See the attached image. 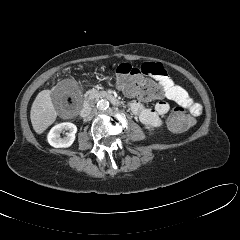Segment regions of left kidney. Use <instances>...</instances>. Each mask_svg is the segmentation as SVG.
<instances>
[{
  "label": "left kidney",
  "instance_id": "left-kidney-1",
  "mask_svg": "<svg viewBox=\"0 0 240 240\" xmlns=\"http://www.w3.org/2000/svg\"><path fill=\"white\" fill-rule=\"evenodd\" d=\"M146 128H147L149 131H152V130H153L151 127H148V126H147Z\"/></svg>",
  "mask_w": 240,
  "mask_h": 240
}]
</instances>
